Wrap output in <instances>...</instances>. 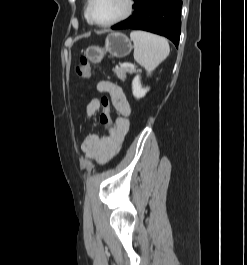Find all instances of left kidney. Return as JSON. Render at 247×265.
I'll return each mask as SVG.
<instances>
[{
  "mask_svg": "<svg viewBox=\"0 0 247 265\" xmlns=\"http://www.w3.org/2000/svg\"><path fill=\"white\" fill-rule=\"evenodd\" d=\"M132 91L134 97H136L137 99L144 97L149 91L148 87H142L139 75H137L132 81Z\"/></svg>",
  "mask_w": 247,
  "mask_h": 265,
  "instance_id": "obj_1",
  "label": "left kidney"
}]
</instances>
